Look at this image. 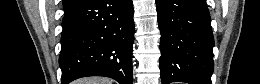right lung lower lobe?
<instances>
[{
	"mask_svg": "<svg viewBox=\"0 0 260 84\" xmlns=\"http://www.w3.org/2000/svg\"><path fill=\"white\" fill-rule=\"evenodd\" d=\"M132 0H85L65 13L59 64L62 84L105 76L133 84Z\"/></svg>",
	"mask_w": 260,
	"mask_h": 84,
	"instance_id": "obj_1",
	"label": "right lung lower lobe"
}]
</instances>
